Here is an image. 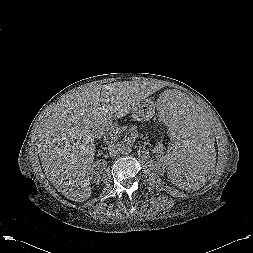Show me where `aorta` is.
<instances>
[{"instance_id":"1","label":"aorta","mask_w":253,"mask_h":253,"mask_svg":"<svg viewBox=\"0 0 253 253\" xmlns=\"http://www.w3.org/2000/svg\"><path fill=\"white\" fill-rule=\"evenodd\" d=\"M118 150L122 155H127L131 152V145L128 142L122 141L118 143Z\"/></svg>"}]
</instances>
